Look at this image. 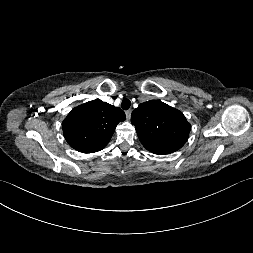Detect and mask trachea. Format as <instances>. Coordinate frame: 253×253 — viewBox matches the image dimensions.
<instances>
[{
    "label": "trachea",
    "mask_w": 253,
    "mask_h": 253,
    "mask_svg": "<svg viewBox=\"0 0 253 253\" xmlns=\"http://www.w3.org/2000/svg\"><path fill=\"white\" fill-rule=\"evenodd\" d=\"M131 106V102L129 99H124L121 103V108L124 109V110H128Z\"/></svg>",
    "instance_id": "1"
}]
</instances>
